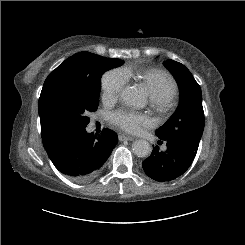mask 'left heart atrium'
Returning <instances> with one entry per match:
<instances>
[{"mask_svg":"<svg viewBox=\"0 0 245 245\" xmlns=\"http://www.w3.org/2000/svg\"><path fill=\"white\" fill-rule=\"evenodd\" d=\"M110 121L114 126L128 133H138L143 126L150 124L146 115L127 109H119L113 112Z\"/></svg>","mask_w":245,"mask_h":245,"instance_id":"39dd6f15","label":"left heart atrium"}]
</instances>
